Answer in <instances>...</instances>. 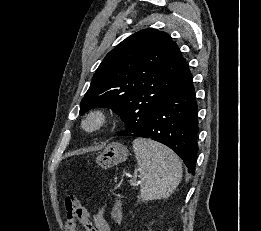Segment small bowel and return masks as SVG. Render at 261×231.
Masks as SVG:
<instances>
[{
  "instance_id": "c3829d8e",
  "label": "small bowel",
  "mask_w": 261,
  "mask_h": 231,
  "mask_svg": "<svg viewBox=\"0 0 261 231\" xmlns=\"http://www.w3.org/2000/svg\"><path fill=\"white\" fill-rule=\"evenodd\" d=\"M87 217L91 220L90 213L88 210H85ZM105 209L104 207H100L97 212L93 215L91 220L95 231H111L110 226L107 220L104 217ZM82 225V224H81ZM83 226V225H82ZM65 231H80L77 226L76 221H68L65 222Z\"/></svg>"
}]
</instances>
